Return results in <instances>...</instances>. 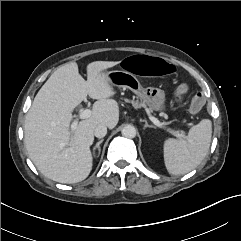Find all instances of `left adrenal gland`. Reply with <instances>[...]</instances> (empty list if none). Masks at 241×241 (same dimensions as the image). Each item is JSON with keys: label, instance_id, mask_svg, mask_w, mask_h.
Masks as SVG:
<instances>
[{"label": "left adrenal gland", "instance_id": "1", "mask_svg": "<svg viewBox=\"0 0 241 241\" xmlns=\"http://www.w3.org/2000/svg\"><path fill=\"white\" fill-rule=\"evenodd\" d=\"M141 122H145V125H144V129H146V128H155L153 125H149L148 123H147V120H140Z\"/></svg>", "mask_w": 241, "mask_h": 241}]
</instances>
